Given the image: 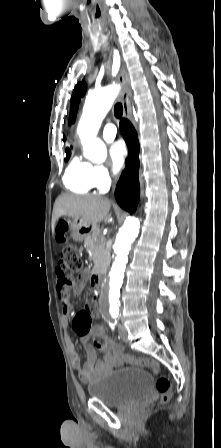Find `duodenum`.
Listing matches in <instances>:
<instances>
[{
	"label": "duodenum",
	"instance_id": "duodenum-1",
	"mask_svg": "<svg viewBox=\"0 0 221 448\" xmlns=\"http://www.w3.org/2000/svg\"><path fill=\"white\" fill-rule=\"evenodd\" d=\"M91 279H92V282H93L95 285H101L102 282H103V275H102V272H101V271H94V272L92 273V277H91Z\"/></svg>",
	"mask_w": 221,
	"mask_h": 448
}]
</instances>
